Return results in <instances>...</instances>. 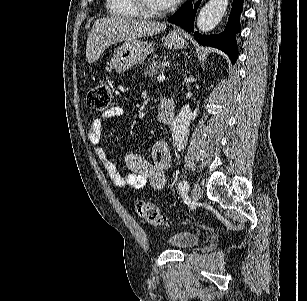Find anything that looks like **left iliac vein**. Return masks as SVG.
I'll list each match as a JSON object with an SVG mask.
<instances>
[{"instance_id": "obj_1", "label": "left iliac vein", "mask_w": 307, "mask_h": 301, "mask_svg": "<svg viewBox=\"0 0 307 301\" xmlns=\"http://www.w3.org/2000/svg\"><path fill=\"white\" fill-rule=\"evenodd\" d=\"M201 197V187L199 184L194 183L193 188H192V195L191 198L194 202H197Z\"/></svg>"}]
</instances>
